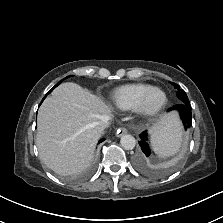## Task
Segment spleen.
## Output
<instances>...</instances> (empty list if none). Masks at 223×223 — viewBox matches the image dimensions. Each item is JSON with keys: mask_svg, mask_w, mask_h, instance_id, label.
Returning a JSON list of instances; mask_svg holds the SVG:
<instances>
[{"mask_svg": "<svg viewBox=\"0 0 223 223\" xmlns=\"http://www.w3.org/2000/svg\"><path fill=\"white\" fill-rule=\"evenodd\" d=\"M183 138L181 124L175 119L165 130L151 135V145L161 158L174 156L180 150Z\"/></svg>", "mask_w": 223, "mask_h": 223, "instance_id": "3e777b00", "label": "spleen"}]
</instances>
